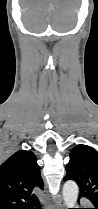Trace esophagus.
Returning <instances> with one entry per match:
<instances>
[{"label":"esophagus","instance_id":"34e87169","mask_svg":"<svg viewBox=\"0 0 98 209\" xmlns=\"http://www.w3.org/2000/svg\"><path fill=\"white\" fill-rule=\"evenodd\" d=\"M51 209H65L64 204L62 203L61 200H58L54 202V204H51Z\"/></svg>","mask_w":98,"mask_h":209}]
</instances>
